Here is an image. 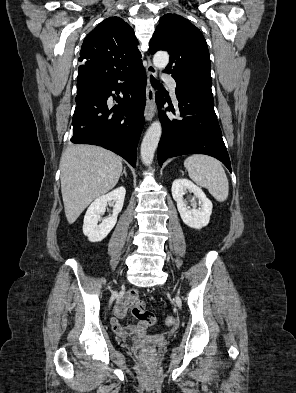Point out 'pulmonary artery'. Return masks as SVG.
Masks as SVG:
<instances>
[{
    "instance_id": "pulmonary-artery-1",
    "label": "pulmonary artery",
    "mask_w": 296,
    "mask_h": 393,
    "mask_svg": "<svg viewBox=\"0 0 296 393\" xmlns=\"http://www.w3.org/2000/svg\"><path fill=\"white\" fill-rule=\"evenodd\" d=\"M163 81H164L165 83L168 84V86H169V88H170V90H171V93H172V96H173L174 100L177 101V100H176V94H175L176 81L174 80V78L171 77L170 75H165V76L163 77Z\"/></svg>"
}]
</instances>
